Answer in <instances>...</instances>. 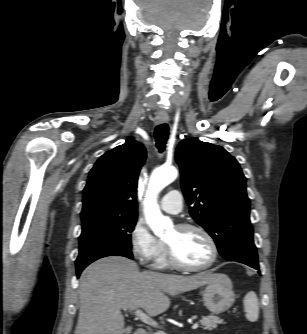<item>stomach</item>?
<instances>
[{"label": "stomach", "instance_id": "1", "mask_svg": "<svg viewBox=\"0 0 307 334\" xmlns=\"http://www.w3.org/2000/svg\"><path fill=\"white\" fill-rule=\"evenodd\" d=\"M214 278L202 291V297L204 305L211 313L220 314L233 305L236 295L227 275L215 273Z\"/></svg>", "mask_w": 307, "mask_h": 334}]
</instances>
